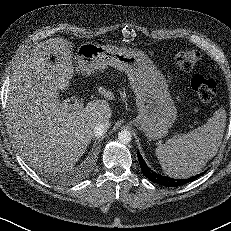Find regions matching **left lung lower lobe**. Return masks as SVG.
<instances>
[{"instance_id":"left-lung-lower-lobe-1","label":"left lung lower lobe","mask_w":231,"mask_h":231,"mask_svg":"<svg viewBox=\"0 0 231 231\" xmlns=\"http://www.w3.org/2000/svg\"><path fill=\"white\" fill-rule=\"evenodd\" d=\"M137 156H138V160L140 163V167L142 172L144 173V175L151 180L152 182L159 184V185H163L166 187H177V186H181L184 185L188 182H191L195 179H197L198 177H200L201 175H203V173L193 176L191 178L188 179H173L170 177H166L163 175H160L158 173H155L154 171H152L144 162L141 154L139 152H137Z\"/></svg>"}]
</instances>
